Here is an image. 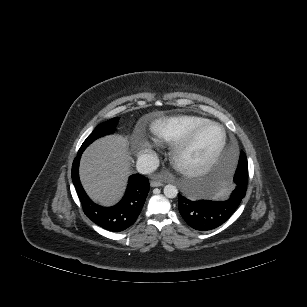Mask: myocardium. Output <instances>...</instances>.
<instances>
[{"instance_id":"obj_1","label":"myocardium","mask_w":307,"mask_h":307,"mask_svg":"<svg viewBox=\"0 0 307 307\" xmlns=\"http://www.w3.org/2000/svg\"><path fill=\"white\" fill-rule=\"evenodd\" d=\"M217 127L221 132V141L215 151L203 162L188 165L182 162V155L193 145L202 131L208 127ZM227 143V135L224 128L217 122L208 121L194 128L185 138L177 142L171 151V160L175 167L187 176H199L208 172L221 156Z\"/></svg>"}]
</instances>
